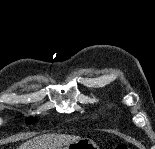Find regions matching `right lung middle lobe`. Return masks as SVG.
I'll use <instances>...</instances> for the list:
<instances>
[{"label": "right lung middle lobe", "mask_w": 155, "mask_h": 149, "mask_svg": "<svg viewBox=\"0 0 155 149\" xmlns=\"http://www.w3.org/2000/svg\"><path fill=\"white\" fill-rule=\"evenodd\" d=\"M35 122H36V118H29L26 121L27 124H34Z\"/></svg>", "instance_id": "right-lung-middle-lobe-1"}]
</instances>
